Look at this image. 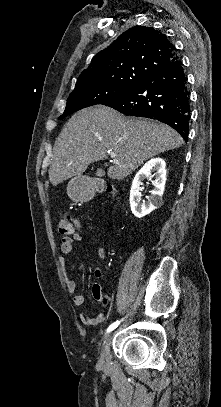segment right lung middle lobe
Returning a JSON list of instances; mask_svg holds the SVG:
<instances>
[{"mask_svg": "<svg viewBox=\"0 0 221 407\" xmlns=\"http://www.w3.org/2000/svg\"><path fill=\"white\" fill-rule=\"evenodd\" d=\"M136 85H94L80 90L73 91L68 99L63 115L59 119L76 112L80 109L104 104L110 100L116 99Z\"/></svg>", "mask_w": 221, "mask_h": 407, "instance_id": "dd1d6c3e", "label": "right lung middle lobe"}]
</instances>
